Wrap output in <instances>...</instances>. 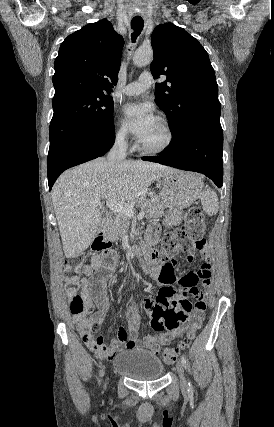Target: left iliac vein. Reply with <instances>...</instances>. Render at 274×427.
Listing matches in <instances>:
<instances>
[{
    "label": "left iliac vein",
    "instance_id": "obj_1",
    "mask_svg": "<svg viewBox=\"0 0 274 427\" xmlns=\"http://www.w3.org/2000/svg\"><path fill=\"white\" fill-rule=\"evenodd\" d=\"M176 370H177V373H178L179 378H180L181 388L183 390H186V388H187V380L185 378L184 368H183L182 362H180V361L177 362V364H176Z\"/></svg>",
    "mask_w": 274,
    "mask_h": 427
}]
</instances>
